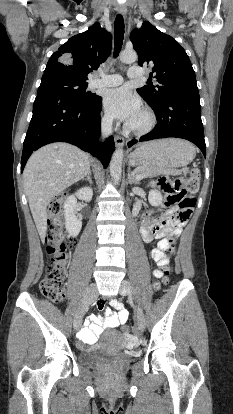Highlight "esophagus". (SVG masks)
<instances>
[{
	"mask_svg": "<svg viewBox=\"0 0 233 414\" xmlns=\"http://www.w3.org/2000/svg\"><path fill=\"white\" fill-rule=\"evenodd\" d=\"M118 13L121 14L123 17H126V14H127L126 7L123 6V5L119 6L118 7ZM114 141H115V145L117 147H122L124 145V139L119 135H116L114 137Z\"/></svg>",
	"mask_w": 233,
	"mask_h": 414,
	"instance_id": "obj_1",
	"label": "esophagus"
}]
</instances>
